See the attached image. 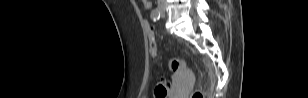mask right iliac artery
Instances as JSON below:
<instances>
[{"label": "right iliac artery", "mask_w": 308, "mask_h": 98, "mask_svg": "<svg viewBox=\"0 0 308 98\" xmlns=\"http://www.w3.org/2000/svg\"><path fill=\"white\" fill-rule=\"evenodd\" d=\"M151 18L153 21L160 19V10L158 8H155L151 12Z\"/></svg>", "instance_id": "obj_1"}]
</instances>
